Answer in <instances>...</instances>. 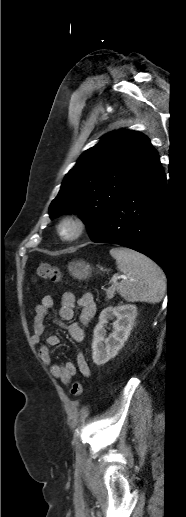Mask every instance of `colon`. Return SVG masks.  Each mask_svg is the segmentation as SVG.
I'll use <instances>...</instances> for the list:
<instances>
[{
	"instance_id": "colon-1",
	"label": "colon",
	"mask_w": 186,
	"mask_h": 517,
	"mask_svg": "<svg viewBox=\"0 0 186 517\" xmlns=\"http://www.w3.org/2000/svg\"><path fill=\"white\" fill-rule=\"evenodd\" d=\"M36 277L41 280L59 282L62 278V272L55 266L43 263L38 266L36 270ZM70 392L74 397L80 396L83 392L82 383L80 381H74L71 385Z\"/></svg>"
}]
</instances>
